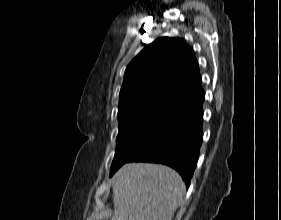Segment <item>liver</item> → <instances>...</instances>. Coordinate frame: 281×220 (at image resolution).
Instances as JSON below:
<instances>
[{
  "mask_svg": "<svg viewBox=\"0 0 281 220\" xmlns=\"http://www.w3.org/2000/svg\"><path fill=\"white\" fill-rule=\"evenodd\" d=\"M111 220H172L185 184L172 168L153 163H127L112 178Z\"/></svg>",
  "mask_w": 281,
  "mask_h": 220,
  "instance_id": "liver-1",
  "label": "liver"
}]
</instances>
